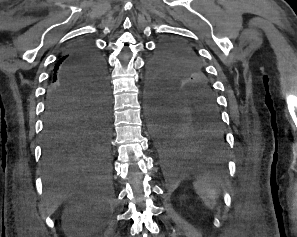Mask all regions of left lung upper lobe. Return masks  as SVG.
<instances>
[{"instance_id":"left-lung-upper-lobe-1","label":"left lung upper lobe","mask_w":297,"mask_h":237,"mask_svg":"<svg viewBox=\"0 0 297 237\" xmlns=\"http://www.w3.org/2000/svg\"><path fill=\"white\" fill-rule=\"evenodd\" d=\"M147 93L149 98L170 99L181 105L201 100L217 103L197 56L179 43L160 47L148 69Z\"/></svg>"}]
</instances>
